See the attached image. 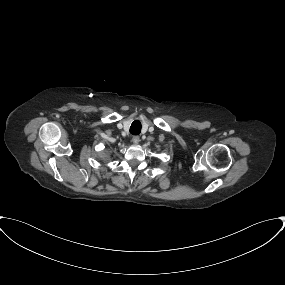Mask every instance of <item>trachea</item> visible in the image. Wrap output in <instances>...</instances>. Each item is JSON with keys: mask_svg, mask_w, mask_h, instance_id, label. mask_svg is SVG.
<instances>
[{"mask_svg": "<svg viewBox=\"0 0 285 285\" xmlns=\"http://www.w3.org/2000/svg\"><path fill=\"white\" fill-rule=\"evenodd\" d=\"M141 123L139 120H135L132 122L131 126H130V133L132 135H139L141 132Z\"/></svg>", "mask_w": 285, "mask_h": 285, "instance_id": "obj_1", "label": "trachea"}]
</instances>
